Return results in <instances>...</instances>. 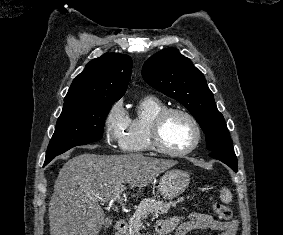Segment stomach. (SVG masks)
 <instances>
[{
  "label": "stomach",
  "instance_id": "1",
  "mask_svg": "<svg viewBox=\"0 0 283 235\" xmlns=\"http://www.w3.org/2000/svg\"><path fill=\"white\" fill-rule=\"evenodd\" d=\"M190 183V175L181 169H171L166 171L159 180V192L169 198L181 195Z\"/></svg>",
  "mask_w": 283,
  "mask_h": 235
}]
</instances>
